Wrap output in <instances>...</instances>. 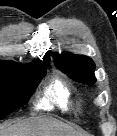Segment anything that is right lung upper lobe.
<instances>
[{
	"label": "right lung upper lobe",
	"mask_w": 117,
	"mask_h": 136,
	"mask_svg": "<svg viewBox=\"0 0 117 136\" xmlns=\"http://www.w3.org/2000/svg\"><path fill=\"white\" fill-rule=\"evenodd\" d=\"M43 60H50V59H49L48 56H44ZM36 61H39V59L36 60ZM36 61H33V62L30 63L29 65H21V66H30V65H32V64H33L34 62H36ZM0 63L16 65V63L13 62V61H1V60H0Z\"/></svg>",
	"instance_id": "right-lung-upper-lobe-1"
}]
</instances>
